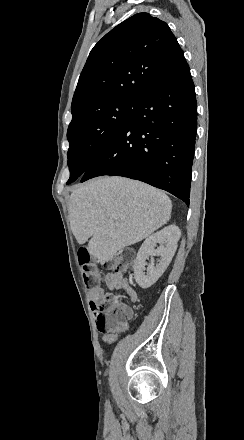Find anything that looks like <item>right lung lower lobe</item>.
<instances>
[{
  "mask_svg": "<svg viewBox=\"0 0 244 440\" xmlns=\"http://www.w3.org/2000/svg\"><path fill=\"white\" fill-rule=\"evenodd\" d=\"M196 129L195 89L185 61L149 87L80 182L102 175L128 177L166 190L189 206Z\"/></svg>",
  "mask_w": 244,
  "mask_h": 440,
  "instance_id": "right-lung-lower-lobe-1",
  "label": "right lung lower lobe"
}]
</instances>
